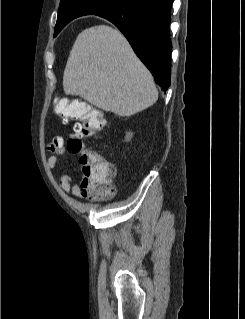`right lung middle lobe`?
Here are the masks:
<instances>
[{
  "mask_svg": "<svg viewBox=\"0 0 245 319\" xmlns=\"http://www.w3.org/2000/svg\"><path fill=\"white\" fill-rule=\"evenodd\" d=\"M125 0H83L80 2V6L85 10L89 11V14H98L107 9L115 7ZM64 4L60 3L59 11L64 8ZM62 28L55 26V34L59 33Z\"/></svg>",
  "mask_w": 245,
  "mask_h": 319,
  "instance_id": "dd1d6c3e",
  "label": "right lung middle lobe"
}]
</instances>
